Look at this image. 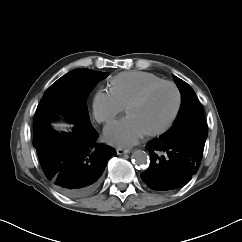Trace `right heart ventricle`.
Instances as JSON below:
<instances>
[{
	"label": "right heart ventricle",
	"mask_w": 242,
	"mask_h": 242,
	"mask_svg": "<svg viewBox=\"0 0 242 242\" xmlns=\"http://www.w3.org/2000/svg\"><path fill=\"white\" fill-rule=\"evenodd\" d=\"M162 79L152 73L142 71L122 72L114 76L111 81V90L123 105L139 94L147 86Z\"/></svg>",
	"instance_id": "right-heart-ventricle-1"
}]
</instances>
